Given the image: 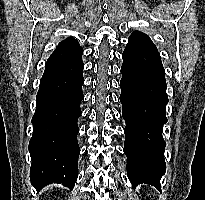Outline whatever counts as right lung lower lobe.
Here are the masks:
<instances>
[{"label":"right lung lower lobe","mask_w":205,"mask_h":200,"mask_svg":"<svg viewBox=\"0 0 205 200\" xmlns=\"http://www.w3.org/2000/svg\"><path fill=\"white\" fill-rule=\"evenodd\" d=\"M81 47L55 50L45 64L29 142L31 184L40 190L59 183L73 189L80 148L77 120L84 98Z\"/></svg>","instance_id":"obj_1"}]
</instances>
